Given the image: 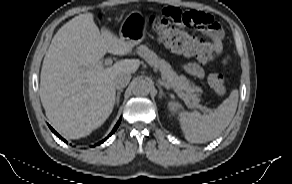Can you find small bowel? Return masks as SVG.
I'll use <instances>...</instances> for the list:
<instances>
[{
	"label": "small bowel",
	"instance_id": "obj_1",
	"mask_svg": "<svg viewBox=\"0 0 292 184\" xmlns=\"http://www.w3.org/2000/svg\"><path fill=\"white\" fill-rule=\"evenodd\" d=\"M213 22V25L210 27L202 28V31L206 34V36L212 41L215 51L218 55H220L223 51V31L221 26L213 19V17L207 15ZM228 62V58L223 60V63L226 64ZM184 70L197 78L204 77V70L203 68L198 65L197 63H187L184 65Z\"/></svg>",
	"mask_w": 292,
	"mask_h": 184
}]
</instances>
